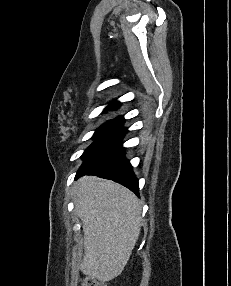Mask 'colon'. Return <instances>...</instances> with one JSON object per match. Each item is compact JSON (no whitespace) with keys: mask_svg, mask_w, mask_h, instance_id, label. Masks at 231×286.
I'll use <instances>...</instances> for the list:
<instances>
[{"mask_svg":"<svg viewBox=\"0 0 231 286\" xmlns=\"http://www.w3.org/2000/svg\"><path fill=\"white\" fill-rule=\"evenodd\" d=\"M81 286H108V285L94 278L85 277L81 282Z\"/></svg>","mask_w":231,"mask_h":286,"instance_id":"5ec220e1","label":"colon"}]
</instances>
